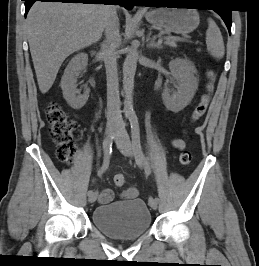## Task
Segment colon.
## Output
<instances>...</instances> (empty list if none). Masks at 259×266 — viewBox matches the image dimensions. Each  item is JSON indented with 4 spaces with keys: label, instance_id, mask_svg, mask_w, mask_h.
Here are the masks:
<instances>
[{
    "label": "colon",
    "instance_id": "colon-1",
    "mask_svg": "<svg viewBox=\"0 0 259 266\" xmlns=\"http://www.w3.org/2000/svg\"><path fill=\"white\" fill-rule=\"evenodd\" d=\"M208 81L205 92L200 98L192 112V121L201 119L209 106L211 94L213 91L214 72L207 73ZM45 117L49 126V133L52 142L57 146L58 158L65 163H71L77 154V146L73 138L75 122L57 103L51 102L45 108ZM192 154L189 150H183L179 155V161L182 165L190 164ZM116 186L121 187L125 184V176L117 174L114 177Z\"/></svg>",
    "mask_w": 259,
    "mask_h": 266
}]
</instances>
